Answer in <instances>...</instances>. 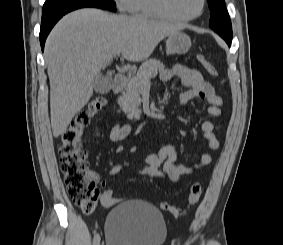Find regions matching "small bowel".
Returning a JSON list of instances; mask_svg holds the SVG:
<instances>
[{
    "instance_id": "small-bowel-1",
    "label": "small bowel",
    "mask_w": 283,
    "mask_h": 245,
    "mask_svg": "<svg viewBox=\"0 0 283 245\" xmlns=\"http://www.w3.org/2000/svg\"><path fill=\"white\" fill-rule=\"evenodd\" d=\"M160 78L165 83L170 82L172 79H178L182 85L187 87V90L179 96L182 105L187 104L192 99H200L209 104L208 112L212 117H220L222 115V98L196 69L185 65H175L170 69L162 71ZM216 128L217 125L210 121H205L202 124V132L208 141L209 150L204 152L198 161L190 165L176 164L175 161L178 157L177 149L170 145L161 146L156 153H152L145 158L139 173L177 182L181 176L191 175L209 165L212 161L213 152L219 148V141L215 135ZM131 130L132 128L129 124H116L110 130L109 138L113 142H118L127 137ZM128 166L127 162L114 165L109 170V174L111 176L117 175ZM92 178L98 179L95 175H92Z\"/></svg>"
}]
</instances>
